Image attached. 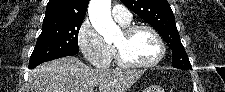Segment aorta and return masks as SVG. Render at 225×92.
Returning a JSON list of instances; mask_svg holds the SVG:
<instances>
[{
  "instance_id": "aorta-1",
  "label": "aorta",
  "mask_w": 225,
  "mask_h": 92,
  "mask_svg": "<svg viewBox=\"0 0 225 92\" xmlns=\"http://www.w3.org/2000/svg\"><path fill=\"white\" fill-rule=\"evenodd\" d=\"M111 0H91L88 7L89 19L95 30L105 41L113 39L119 27L111 17Z\"/></svg>"
}]
</instances>
